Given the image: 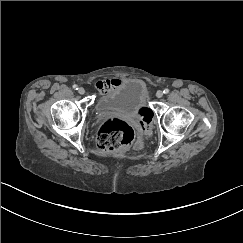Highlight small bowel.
Listing matches in <instances>:
<instances>
[{"label":"small bowel","mask_w":243,"mask_h":243,"mask_svg":"<svg viewBox=\"0 0 243 243\" xmlns=\"http://www.w3.org/2000/svg\"><path fill=\"white\" fill-rule=\"evenodd\" d=\"M122 82V80L114 78V79H108V80H104V81H98L96 83V88L97 90L104 94V93H108L111 90H113L115 87H117L120 83Z\"/></svg>","instance_id":"1"}]
</instances>
